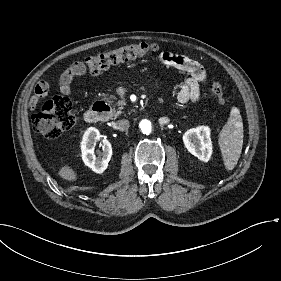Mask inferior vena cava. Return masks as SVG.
<instances>
[{
	"instance_id": "inferior-vena-cava-1",
	"label": "inferior vena cava",
	"mask_w": 281,
	"mask_h": 281,
	"mask_svg": "<svg viewBox=\"0 0 281 281\" xmlns=\"http://www.w3.org/2000/svg\"><path fill=\"white\" fill-rule=\"evenodd\" d=\"M115 126H116V129H118V130L126 131L130 127V122H129V120L121 119L116 122Z\"/></svg>"
}]
</instances>
